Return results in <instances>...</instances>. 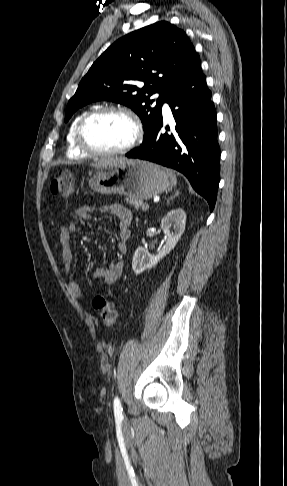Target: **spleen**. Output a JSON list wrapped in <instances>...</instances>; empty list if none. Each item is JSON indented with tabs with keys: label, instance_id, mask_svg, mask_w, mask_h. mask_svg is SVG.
Listing matches in <instances>:
<instances>
[{
	"label": "spleen",
	"instance_id": "spleen-1",
	"mask_svg": "<svg viewBox=\"0 0 287 486\" xmlns=\"http://www.w3.org/2000/svg\"><path fill=\"white\" fill-rule=\"evenodd\" d=\"M168 175H169V177L171 179V185L172 186H176V184H177V178H176V176L171 171L168 172Z\"/></svg>",
	"mask_w": 287,
	"mask_h": 486
}]
</instances>
